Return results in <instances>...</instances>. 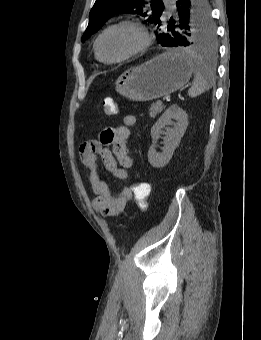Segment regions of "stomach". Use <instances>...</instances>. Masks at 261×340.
Listing matches in <instances>:
<instances>
[{
  "instance_id": "obj_1",
  "label": "stomach",
  "mask_w": 261,
  "mask_h": 340,
  "mask_svg": "<svg viewBox=\"0 0 261 340\" xmlns=\"http://www.w3.org/2000/svg\"><path fill=\"white\" fill-rule=\"evenodd\" d=\"M193 72L188 57L165 52L121 74L115 82L116 91L131 101H150L182 88Z\"/></svg>"
}]
</instances>
